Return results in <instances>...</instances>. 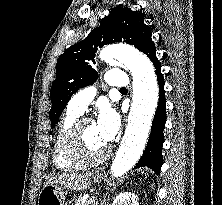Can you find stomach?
I'll use <instances>...</instances> for the list:
<instances>
[{
    "label": "stomach",
    "instance_id": "0dacf381",
    "mask_svg": "<svg viewBox=\"0 0 222 205\" xmlns=\"http://www.w3.org/2000/svg\"><path fill=\"white\" fill-rule=\"evenodd\" d=\"M94 181L101 180L100 175H93ZM67 191L64 187L46 184L39 194L38 205H68Z\"/></svg>",
    "mask_w": 222,
    "mask_h": 205
}]
</instances>
